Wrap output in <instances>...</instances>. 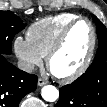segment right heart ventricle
<instances>
[{"label":"right heart ventricle","mask_w":107,"mask_h":107,"mask_svg":"<svg viewBox=\"0 0 107 107\" xmlns=\"http://www.w3.org/2000/svg\"><path fill=\"white\" fill-rule=\"evenodd\" d=\"M76 18L78 15L72 13L44 17L29 26L27 39L43 57H46L65 26Z\"/></svg>","instance_id":"obj_1"}]
</instances>
